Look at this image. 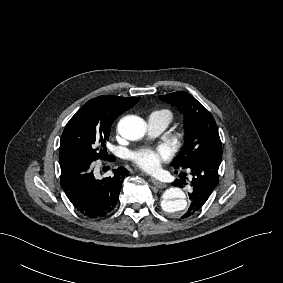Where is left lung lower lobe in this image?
<instances>
[{
  "instance_id": "1",
  "label": "left lung lower lobe",
  "mask_w": 283,
  "mask_h": 283,
  "mask_svg": "<svg viewBox=\"0 0 283 283\" xmlns=\"http://www.w3.org/2000/svg\"><path fill=\"white\" fill-rule=\"evenodd\" d=\"M220 161V155H207L199 158L189 167L184 168L191 171V186L193 190L188 194L191 200L189 209L182 218L194 215L206 203L211 192L219 182L218 169ZM175 168L179 169L181 167ZM178 184H181L179 180H177Z\"/></svg>"
}]
</instances>
